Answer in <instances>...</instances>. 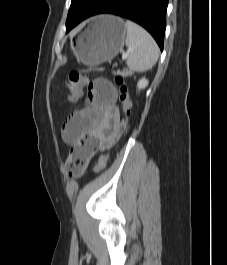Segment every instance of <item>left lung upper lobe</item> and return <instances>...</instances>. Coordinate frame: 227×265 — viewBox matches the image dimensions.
<instances>
[{
  "mask_svg": "<svg viewBox=\"0 0 227 265\" xmlns=\"http://www.w3.org/2000/svg\"><path fill=\"white\" fill-rule=\"evenodd\" d=\"M105 0H72L66 21V30L88 18Z\"/></svg>",
  "mask_w": 227,
  "mask_h": 265,
  "instance_id": "1",
  "label": "left lung upper lobe"
}]
</instances>
